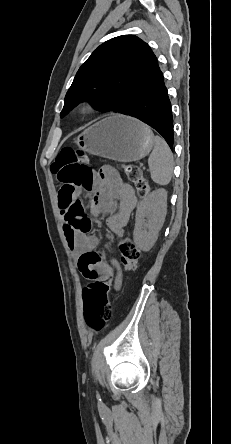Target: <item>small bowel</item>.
Instances as JSON below:
<instances>
[{
    "mask_svg": "<svg viewBox=\"0 0 231 444\" xmlns=\"http://www.w3.org/2000/svg\"><path fill=\"white\" fill-rule=\"evenodd\" d=\"M83 190L90 195V208L94 216H107V227L117 236L123 235L130 214L136 204L133 188L125 183L118 171L111 166L102 167L92 183ZM79 191L63 186L59 192V207L64 222L68 245L77 255L79 272L89 283L115 277L121 283V264L111 257L108 261L95 250L96 239L80 233L74 226L71 207L78 202Z\"/></svg>",
    "mask_w": 231,
    "mask_h": 444,
    "instance_id": "small-bowel-1",
    "label": "small bowel"
}]
</instances>
